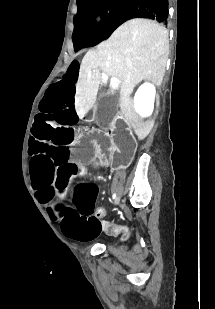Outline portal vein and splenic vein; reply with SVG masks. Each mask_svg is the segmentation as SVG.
Returning a JSON list of instances; mask_svg holds the SVG:
<instances>
[{"label":"portal vein and splenic vein","mask_w":215,"mask_h":309,"mask_svg":"<svg viewBox=\"0 0 215 309\" xmlns=\"http://www.w3.org/2000/svg\"><path fill=\"white\" fill-rule=\"evenodd\" d=\"M104 74V72H102ZM106 78L104 80H107L108 76L105 74ZM119 84V78H110V86H118Z\"/></svg>","instance_id":"1"}]
</instances>
